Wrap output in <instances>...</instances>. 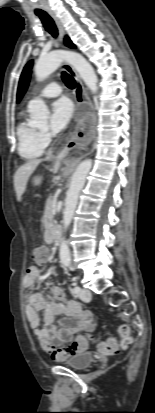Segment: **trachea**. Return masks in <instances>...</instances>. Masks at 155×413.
I'll return each instance as SVG.
<instances>
[{
  "instance_id": "3493384b",
  "label": "trachea",
  "mask_w": 155,
  "mask_h": 413,
  "mask_svg": "<svg viewBox=\"0 0 155 413\" xmlns=\"http://www.w3.org/2000/svg\"><path fill=\"white\" fill-rule=\"evenodd\" d=\"M42 21L43 26L45 27V29L54 37L56 38L58 35V30L57 27L53 21V19L45 12L43 13H37L36 14ZM62 79L64 81V83L66 84L67 87H69L70 89L75 88L76 83L74 78L69 75L66 72H62Z\"/></svg>"
}]
</instances>
